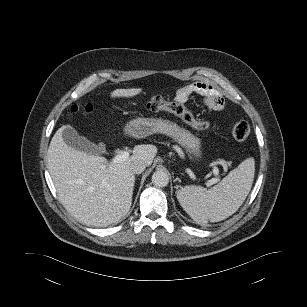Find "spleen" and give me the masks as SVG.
I'll use <instances>...</instances> for the list:
<instances>
[{"label":"spleen","mask_w":307,"mask_h":307,"mask_svg":"<svg viewBox=\"0 0 307 307\" xmlns=\"http://www.w3.org/2000/svg\"><path fill=\"white\" fill-rule=\"evenodd\" d=\"M254 165V159L247 158L213 188L185 186L177 191V199L197 223L222 221L234 214L245 201L253 184Z\"/></svg>","instance_id":"spleen-1"}]
</instances>
